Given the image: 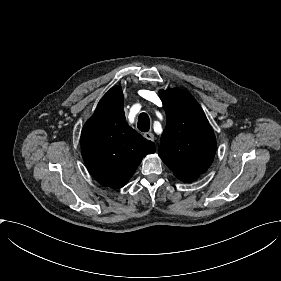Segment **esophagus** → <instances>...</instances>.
<instances>
[{"label": "esophagus", "mask_w": 281, "mask_h": 281, "mask_svg": "<svg viewBox=\"0 0 281 281\" xmlns=\"http://www.w3.org/2000/svg\"><path fill=\"white\" fill-rule=\"evenodd\" d=\"M143 136L148 139V140H151V141H154L155 137L152 133H144Z\"/></svg>", "instance_id": "34e87169"}]
</instances>
